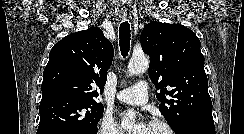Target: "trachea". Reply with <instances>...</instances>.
Returning <instances> with one entry per match:
<instances>
[{
    "label": "trachea",
    "instance_id": "1",
    "mask_svg": "<svg viewBox=\"0 0 244 134\" xmlns=\"http://www.w3.org/2000/svg\"><path fill=\"white\" fill-rule=\"evenodd\" d=\"M130 32V24L128 23V21L122 22L119 27V44L120 51L123 57H126L130 50Z\"/></svg>",
    "mask_w": 244,
    "mask_h": 134
}]
</instances>
